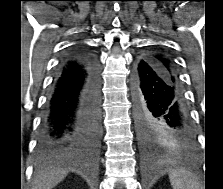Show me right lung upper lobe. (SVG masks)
Returning <instances> with one entry per match:
<instances>
[{
	"label": "right lung upper lobe",
	"mask_w": 223,
	"mask_h": 189,
	"mask_svg": "<svg viewBox=\"0 0 223 189\" xmlns=\"http://www.w3.org/2000/svg\"><path fill=\"white\" fill-rule=\"evenodd\" d=\"M74 50H78L80 53L84 55H91V53L83 47H78ZM82 69V65L77 62H69L66 67L67 72H78Z\"/></svg>",
	"instance_id": "obj_1"
}]
</instances>
